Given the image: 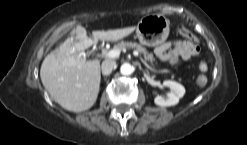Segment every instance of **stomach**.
Returning <instances> with one entry per match:
<instances>
[{"mask_svg":"<svg viewBox=\"0 0 247 145\" xmlns=\"http://www.w3.org/2000/svg\"><path fill=\"white\" fill-rule=\"evenodd\" d=\"M170 21L159 14L144 16L138 23L136 34L141 44L154 47L166 41L170 32Z\"/></svg>","mask_w":247,"mask_h":145,"instance_id":"1","label":"stomach"}]
</instances>
